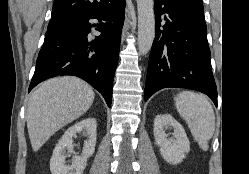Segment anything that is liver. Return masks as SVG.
<instances>
[{
  "label": "liver",
  "instance_id": "6515ba94",
  "mask_svg": "<svg viewBox=\"0 0 249 174\" xmlns=\"http://www.w3.org/2000/svg\"><path fill=\"white\" fill-rule=\"evenodd\" d=\"M95 93L88 83L72 76L43 82L30 96L27 128L33 151H38L59 129L81 117Z\"/></svg>",
  "mask_w": 249,
  "mask_h": 174
}]
</instances>
